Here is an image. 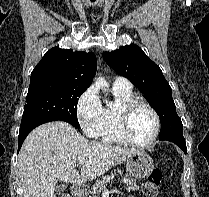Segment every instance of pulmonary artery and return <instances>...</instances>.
<instances>
[{
    "label": "pulmonary artery",
    "instance_id": "1",
    "mask_svg": "<svg viewBox=\"0 0 209 197\" xmlns=\"http://www.w3.org/2000/svg\"><path fill=\"white\" fill-rule=\"evenodd\" d=\"M113 87L116 88H132L131 83L124 77L117 76L114 79Z\"/></svg>",
    "mask_w": 209,
    "mask_h": 197
}]
</instances>
